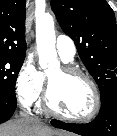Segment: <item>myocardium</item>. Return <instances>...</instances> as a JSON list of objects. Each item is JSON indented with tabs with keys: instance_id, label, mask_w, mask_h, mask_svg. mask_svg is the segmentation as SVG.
<instances>
[{
	"instance_id": "myocardium-1",
	"label": "myocardium",
	"mask_w": 117,
	"mask_h": 136,
	"mask_svg": "<svg viewBox=\"0 0 117 136\" xmlns=\"http://www.w3.org/2000/svg\"><path fill=\"white\" fill-rule=\"evenodd\" d=\"M61 70L65 76L81 77L88 83V85L90 86V88L93 92V96H94L93 108L89 114H87L86 116H83V117H72V116L65 115L62 112L58 111L56 108H54V106L51 103V97H50L51 81H50V79H48L46 93H45V108H46V110L50 114H52L62 120L69 121V122L85 123V122H89V121L93 120L98 115L100 108H101V95H100V91H99L97 84L95 83L93 78L88 73H86L85 71H83L82 69H80L78 67H75L72 65H65V66L61 67Z\"/></svg>"
}]
</instances>
